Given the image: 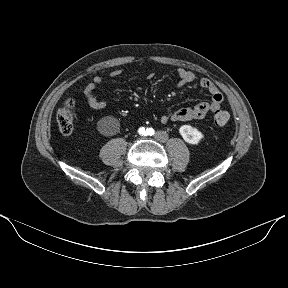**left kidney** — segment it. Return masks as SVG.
I'll return each mask as SVG.
<instances>
[{"instance_id":"left-kidney-1","label":"left kidney","mask_w":288,"mask_h":288,"mask_svg":"<svg viewBox=\"0 0 288 288\" xmlns=\"http://www.w3.org/2000/svg\"><path fill=\"white\" fill-rule=\"evenodd\" d=\"M179 133L185 142L189 144H198L203 138V134L190 125H183L179 128Z\"/></svg>"}]
</instances>
